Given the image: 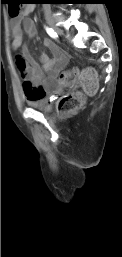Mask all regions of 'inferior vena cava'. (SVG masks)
<instances>
[{
    "instance_id": "602c4592",
    "label": "inferior vena cava",
    "mask_w": 122,
    "mask_h": 257,
    "mask_svg": "<svg viewBox=\"0 0 122 257\" xmlns=\"http://www.w3.org/2000/svg\"><path fill=\"white\" fill-rule=\"evenodd\" d=\"M43 7H44V9L50 8V7H49V4H44Z\"/></svg>"
}]
</instances>
